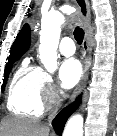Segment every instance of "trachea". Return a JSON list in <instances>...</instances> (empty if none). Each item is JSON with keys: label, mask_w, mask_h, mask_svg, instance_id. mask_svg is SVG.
I'll use <instances>...</instances> for the list:
<instances>
[{"label": "trachea", "mask_w": 117, "mask_h": 136, "mask_svg": "<svg viewBox=\"0 0 117 136\" xmlns=\"http://www.w3.org/2000/svg\"><path fill=\"white\" fill-rule=\"evenodd\" d=\"M74 38L77 41L78 44H81L83 42V38H84V31L82 28L80 27H76L74 29Z\"/></svg>", "instance_id": "3493384b"}]
</instances>
